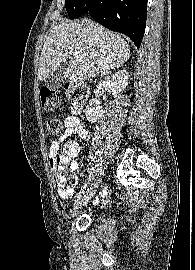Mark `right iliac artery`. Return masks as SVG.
I'll list each match as a JSON object with an SVG mask.
<instances>
[{"mask_svg":"<svg viewBox=\"0 0 195 270\" xmlns=\"http://www.w3.org/2000/svg\"><path fill=\"white\" fill-rule=\"evenodd\" d=\"M86 185L85 187L76 195V199H79L84 193H85Z\"/></svg>","mask_w":195,"mask_h":270,"instance_id":"82829eb1","label":"right iliac artery"}]
</instances>
